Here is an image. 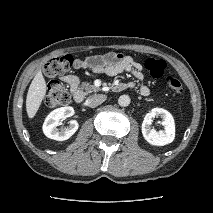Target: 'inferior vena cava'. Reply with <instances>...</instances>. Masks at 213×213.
Returning a JSON list of instances; mask_svg holds the SVG:
<instances>
[{"label": "inferior vena cava", "instance_id": "602c4592", "mask_svg": "<svg viewBox=\"0 0 213 213\" xmlns=\"http://www.w3.org/2000/svg\"><path fill=\"white\" fill-rule=\"evenodd\" d=\"M107 99L104 94H94L87 99V104L89 107L94 108L102 104Z\"/></svg>", "mask_w": 213, "mask_h": 213}]
</instances>
